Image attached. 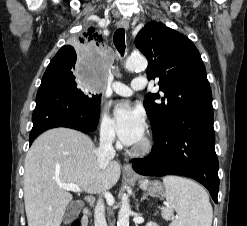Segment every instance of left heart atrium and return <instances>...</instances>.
Returning a JSON list of instances; mask_svg holds the SVG:
<instances>
[{
    "mask_svg": "<svg viewBox=\"0 0 247 226\" xmlns=\"http://www.w3.org/2000/svg\"><path fill=\"white\" fill-rule=\"evenodd\" d=\"M114 122L119 139L127 146L140 142L145 133L146 122L142 112L128 101L115 103Z\"/></svg>",
    "mask_w": 247,
    "mask_h": 226,
    "instance_id": "obj_1",
    "label": "left heart atrium"
}]
</instances>
